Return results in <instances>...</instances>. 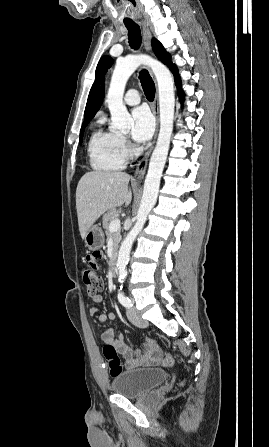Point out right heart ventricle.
I'll return each mask as SVG.
<instances>
[{
  "label": "right heart ventricle",
  "mask_w": 269,
  "mask_h": 447,
  "mask_svg": "<svg viewBox=\"0 0 269 447\" xmlns=\"http://www.w3.org/2000/svg\"><path fill=\"white\" fill-rule=\"evenodd\" d=\"M90 164L95 170H113L121 168L126 154L121 144V136L113 129H106L103 122L94 132L89 144Z\"/></svg>",
  "instance_id": "1"
}]
</instances>
